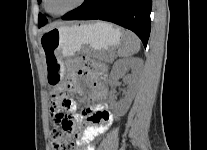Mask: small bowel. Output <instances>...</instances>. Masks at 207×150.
Listing matches in <instances>:
<instances>
[{
    "label": "small bowel",
    "mask_w": 207,
    "mask_h": 150,
    "mask_svg": "<svg viewBox=\"0 0 207 150\" xmlns=\"http://www.w3.org/2000/svg\"><path fill=\"white\" fill-rule=\"evenodd\" d=\"M77 72L84 77L93 87L91 100L104 99L107 95L106 70L97 63H90L88 68L78 67ZM71 91L82 93V88L74 76H71L67 84ZM69 99V98H67ZM70 100L68 107L72 121L71 131L81 132L78 138L79 150H94L90 143L104 134L113 124L115 116L107 109L105 103L86 107L82 114H74L75 103Z\"/></svg>",
    "instance_id": "obj_1"
}]
</instances>
